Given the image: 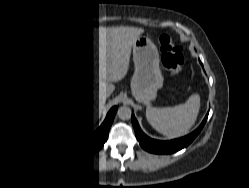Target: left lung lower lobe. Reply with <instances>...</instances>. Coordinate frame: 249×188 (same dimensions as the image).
Listing matches in <instances>:
<instances>
[{
    "label": "left lung lower lobe",
    "instance_id": "0a47b994",
    "mask_svg": "<svg viewBox=\"0 0 249 188\" xmlns=\"http://www.w3.org/2000/svg\"><path fill=\"white\" fill-rule=\"evenodd\" d=\"M207 117H208V114L203 120V122L201 123V125L191 134L185 137L170 140V141L154 140L148 137L147 135H145L140 129L139 124L133 113H132V124L135 129L136 138L138 139L143 149H145L148 152L156 153V154H171V153H175L181 150L182 148L187 147L195 139V137L202 130L207 120Z\"/></svg>",
    "mask_w": 249,
    "mask_h": 188
}]
</instances>
